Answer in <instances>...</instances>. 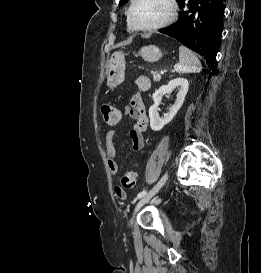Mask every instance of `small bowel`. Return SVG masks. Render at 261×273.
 <instances>
[{
	"mask_svg": "<svg viewBox=\"0 0 261 273\" xmlns=\"http://www.w3.org/2000/svg\"><path fill=\"white\" fill-rule=\"evenodd\" d=\"M135 85L140 91H146L150 88V80L146 76H139L135 79ZM124 113L133 121V127L130 131V138L132 141V149L134 151H140L144 147L143 133L148 128V118L146 115V108L140 92L134 94L131 98L130 104L124 108ZM116 136V130L111 129L107 132L105 138V153L107 158V164L110 173L115 176L118 174V163L116 160V151L114 145V139ZM115 195L121 199H126V192H118V188H114Z\"/></svg>",
	"mask_w": 261,
	"mask_h": 273,
	"instance_id": "1",
	"label": "small bowel"
}]
</instances>
